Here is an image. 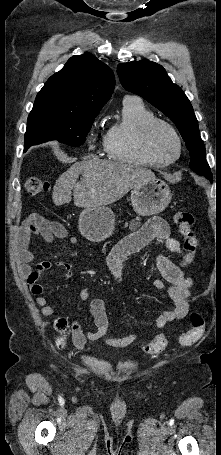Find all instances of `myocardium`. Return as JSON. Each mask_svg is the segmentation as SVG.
I'll return each mask as SVG.
<instances>
[{
    "label": "myocardium",
    "instance_id": "myocardium-1",
    "mask_svg": "<svg viewBox=\"0 0 221 455\" xmlns=\"http://www.w3.org/2000/svg\"><path fill=\"white\" fill-rule=\"evenodd\" d=\"M159 128H164L167 130L177 145V154L174 157H169L165 155L156 145L155 135ZM141 140L144 148L154 157L159 160L164 161L165 163H172L176 161L182 152V142L181 138L176 131V129L166 120L160 118H153L149 120L142 128Z\"/></svg>",
    "mask_w": 221,
    "mask_h": 455
}]
</instances>
